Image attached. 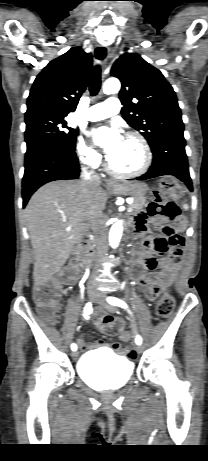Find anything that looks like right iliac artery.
Instances as JSON below:
<instances>
[{
    "mask_svg": "<svg viewBox=\"0 0 208 461\" xmlns=\"http://www.w3.org/2000/svg\"><path fill=\"white\" fill-rule=\"evenodd\" d=\"M92 304L91 303H87V305L84 307V313L86 316H88L90 313H92ZM71 349L73 351H76L77 350V346L76 344H72L71 345Z\"/></svg>",
    "mask_w": 208,
    "mask_h": 461,
    "instance_id": "right-iliac-artery-1",
    "label": "right iliac artery"
}]
</instances>
